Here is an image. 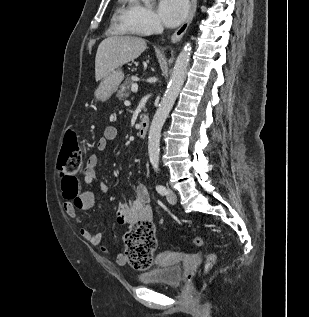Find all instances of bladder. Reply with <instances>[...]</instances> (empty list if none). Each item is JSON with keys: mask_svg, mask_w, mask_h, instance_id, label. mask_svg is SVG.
<instances>
[{"mask_svg": "<svg viewBox=\"0 0 309 317\" xmlns=\"http://www.w3.org/2000/svg\"><path fill=\"white\" fill-rule=\"evenodd\" d=\"M183 279V272L179 265L158 266L138 276L142 284H159L167 287H178Z\"/></svg>", "mask_w": 309, "mask_h": 317, "instance_id": "obj_1", "label": "bladder"}]
</instances>
